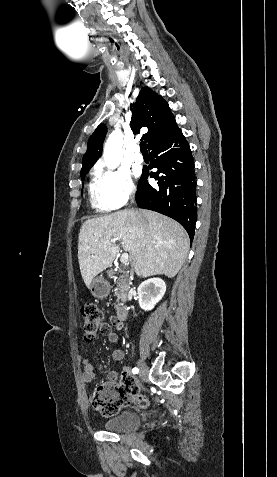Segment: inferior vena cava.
Instances as JSON below:
<instances>
[{"label": "inferior vena cava", "instance_id": "obj_1", "mask_svg": "<svg viewBox=\"0 0 277 477\" xmlns=\"http://www.w3.org/2000/svg\"><path fill=\"white\" fill-rule=\"evenodd\" d=\"M132 202H134V197H132Z\"/></svg>", "mask_w": 277, "mask_h": 477}]
</instances>
